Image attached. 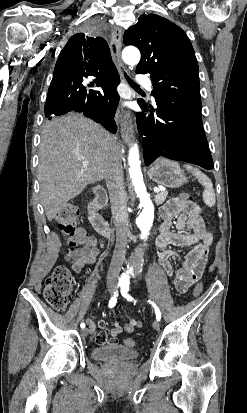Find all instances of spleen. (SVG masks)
Returning <instances> with one entry per match:
<instances>
[{"label": "spleen", "mask_w": 247, "mask_h": 413, "mask_svg": "<svg viewBox=\"0 0 247 413\" xmlns=\"http://www.w3.org/2000/svg\"><path fill=\"white\" fill-rule=\"evenodd\" d=\"M184 166L185 168H187V170H190V172H192L193 176H196V178H198L201 184H203L204 190H203L202 198L205 204H207V207H214V204L216 202V196H215L212 180H210V178H208V176H206L204 172H201L199 168H193L191 164H184Z\"/></svg>", "instance_id": "spleen-1"}]
</instances>
